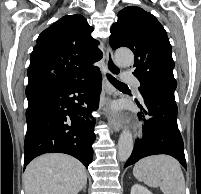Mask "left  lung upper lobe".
Returning a JSON list of instances; mask_svg holds the SVG:
<instances>
[{"mask_svg":"<svg viewBox=\"0 0 201 194\" xmlns=\"http://www.w3.org/2000/svg\"><path fill=\"white\" fill-rule=\"evenodd\" d=\"M110 45L113 49L125 46L135 54L133 74L140 81L142 97L162 91L174 95V61L171 44L159 21L140 7L128 6L119 11L111 27Z\"/></svg>","mask_w":201,"mask_h":194,"instance_id":"1","label":"left lung upper lobe"}]
</instances>
